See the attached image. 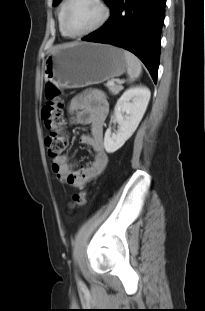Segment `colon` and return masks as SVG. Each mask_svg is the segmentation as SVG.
<instances>
[{
    "instance_id": "colon-1",
    "label": "colon",
    "mask_w": 205,
    "mask_h": 311,
    "mask_svg": "<svg viewBox=\"0 0 205 311\" xmlns=\"http://www.w3.org/2000/svg\"><path fill=\"white\" fill-rule=\"evenodd\" d=\"M45 103L42 106L41 116L44 126L49 132L45 138L48 155L52 158L60 156L68 145V136L63 131V100L60 92L54 85L45 88ZM87 192L81 190L72 195L70 204L72 207H80L86 203Z\"/></svg>"
}]
</instances>
